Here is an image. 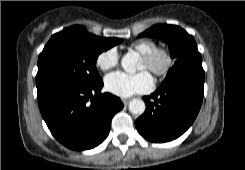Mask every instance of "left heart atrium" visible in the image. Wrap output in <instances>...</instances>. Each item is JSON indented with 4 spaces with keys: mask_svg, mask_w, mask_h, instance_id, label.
Here are the masks:
<instances>
[{
    "mask_svg": "<svg viewBox=\"0 0 245 170\" xmlns=\"http://www.w3.org/2000/svg\"><path fill=\"white\" fill-rule=\"evenodd\" d=\"M153 86V78L146 70L135 74L116 71L105 77L106 89L119 97H130L137 93L149 92Z\"/></svg>",
    "mask_w": 245,
    "mask_h": 170,
    "instance_id": "left-heart-atrium-1",
    "label": "left heart atrium"
}]
</instances>
